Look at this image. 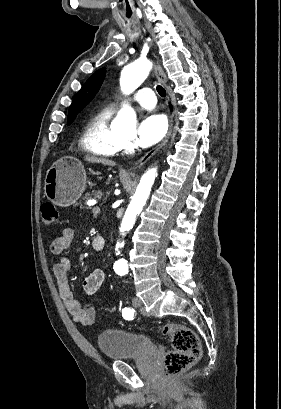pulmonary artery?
<instances>
[{
    "label": "pulmonary artery",
    "mask_w": 281,
    "mask_h": 409,
    "mask_svg": "<svg viewBox=\"0 0 281 409\" xmlns=\"http://www.w3.org/2000/svg\"><path fill=\"white\" fill-rule=\"evenodd\" d=\"M135 101L145 109H152L155 107L157 96L154 94L153 90H142L141 94L135 96ZM120 104L122 106H130L132 104V99L130 97H122L120 99Z\"/></svg>",
    "instance_id": "pulmonary-artery-1"
}]
</instances>
